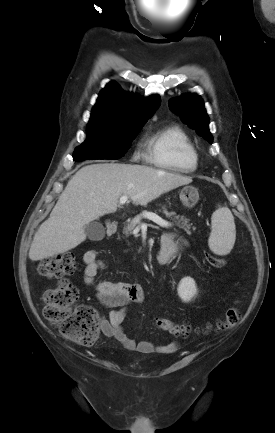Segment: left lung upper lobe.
I'll return each instance as SVG.
<instances>
[{"mask_svg":"<svg viewBox=\"0 0 275 433\" xmlns=\"http://www.w3.org/2000/svg\"><path fill=\"white\" fill-rule=\"evenodd\" d=\"M172 111L180 115L182 121L206 139L209 143L213 137L209 132V117L204 108V103L196 94L183 95L169 102Z\"/></svg>","mask_w":275,"mask_h":433,"instance_id":"1","label":"left lung upper lobe"}]
</instances>
